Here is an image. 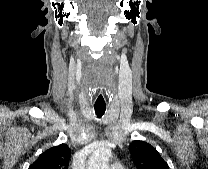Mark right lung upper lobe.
Listing matches in <instances>:
<instances>
[{
  "label": "right lung upper lobe",
  "instance_id": "cb5924a9",
  "mask_svg": "<svg viewBox=\"0 0 208 169\" xmlns=\"http://www.w3.org/2000/svg\"><path fill=\"white\" fill-rule=\"evenodd\" d=\"M71 150L60 144L43 152L29 169H68Z\"/></svg>",
  "mask_w": 208,
  "mask_h": 169
}]
</instances>
